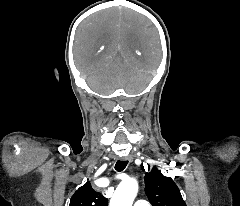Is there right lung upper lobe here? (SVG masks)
I'll return each instance as SVG.
<instances>
[{
	"instance_id": "obj_1",
	"label": "right lung upper lobe",
	"mask_w": 240,
	"mask_h": 206,
	"mask_svg": "<svg viewBox=\"0 0 240 206\" xmlns=\"http://www.w3.org/2000/svg\"><path fill=\"white\" fill-rule=\"evenodd\" d=\"M69 206H108V199L96 192L87 182L71 197Z\"/></svg>"
}]
</instances>
